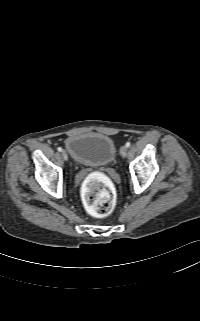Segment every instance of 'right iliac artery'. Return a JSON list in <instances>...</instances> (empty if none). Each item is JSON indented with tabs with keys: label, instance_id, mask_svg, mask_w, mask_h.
Returning a JSON list of instances; mask_svg holds the SVG:
<instances>
[{
	"label": "right iliac artery",
	"instance_id": "1",
	"mask_svg": "<svg viewBox=\"0 0 200 321\" xmlns=\"http://www.w3.org/2000/svg\"><path fill=\"white\" fill-rule=\"evenodd\" d=\"M57 150L61 152L63 149L61 147H58Z\"/></svg>",
	"mask_w": 200,
	"mask_h": 321
}]
</instances>
